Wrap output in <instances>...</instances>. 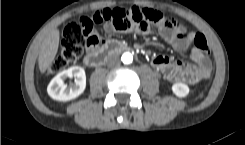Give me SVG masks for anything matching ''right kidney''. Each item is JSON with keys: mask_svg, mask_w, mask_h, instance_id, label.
Listing matches in <instances>:
<instances>
[{"mask_svg": "<svg viewBox=\"0 0 245 145\" xmlns=\"http://www.w3.org/2000/svg\"><path fill=\"white\" fill-rule=\"evenodd\" d=\"M75 77L71 86L65 84L67 78ZM86 88V75L82 67L72 66L57 74L47 87L48 95L58 101H69L81 95Z\"/></svg>", "mask_w": 245, "mask_h": 145, "instance_id": "ca27d5eb", "label": "right kidney"}]
</instances>
